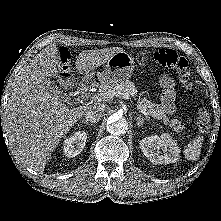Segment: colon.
I'll return each instance as SVG.
<instances>
[{
  "instance_id": "5ec220e1",
  "label": "colon",
  "mask_w": 221,
  "mask_h": 221,
  "mask_svg": "<svg viewBox=\"0 0 221 221\" xmlns=\"http://www.w3.org/2000/svg\"><path fill=\"white\" fill-rule=\"evenodd\" d=\"M70 57V52L67 49L63 48L60 50L59 70L62 73H66L68 71ZM154 59L160 66L175 69L182 86L186 90L192 89L191 74L188 69V62L185 57L173 49L163 48L155 52ZM160 83L163 92L174 90L173 81L168 76L162 75L160 78ZM197 126L201 133H207L209 131L211 127V119L206 109H201L199 111Z\"/></svg>"
}]
</instances>
